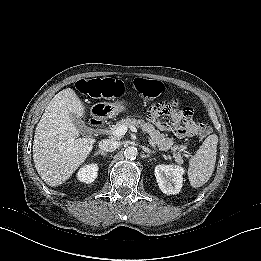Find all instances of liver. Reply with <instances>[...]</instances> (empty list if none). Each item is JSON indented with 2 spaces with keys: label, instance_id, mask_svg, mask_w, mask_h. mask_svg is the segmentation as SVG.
I'll use <instances>...</instances> for the list:
<instances>
[{
  "label": "liver",
  "instance_id": "6515ba94",
  "mask_svg": "<svg viewBox=\"0 0 261 261\" xmlns=\"http://www.w3.org/2000/svg\"><path fill=\"white\" fill-rule=\"evenodd\" d=\"M85 117V105L75 91L66 88L48 104L39 121L33 145V159L41 178L50 186L62 184L86 160L96 139L79 137L75 120Z\"/></svg>",
  "mask_w": 261,
  "mask_h": 261
}]
</instances>
